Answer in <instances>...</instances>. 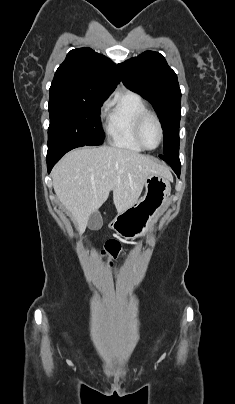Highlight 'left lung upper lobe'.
I'll return each mask as SVG.
<instances>
[{
  "label": "left lung upper lobe",
  "instance_id": "left-lung-upper-lobe-1",
  "mask_svg": "<svg viewBox=\"0 0 235 404\" xmlns=\"http://www.w3.org/2000/svg\"><path fill=\"white\" fill-rule=\"evenodd\" d=\"M124 85L147 99L160 119L164 135V156L179 157L181 91L177 75L157 52L145 51L118 64Z\"/></svg>",
  "mask_w": 235,
  "mask_h": 404
}]
</instances>
